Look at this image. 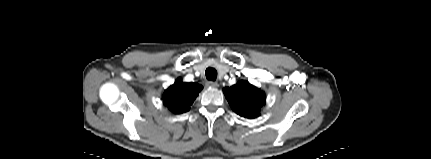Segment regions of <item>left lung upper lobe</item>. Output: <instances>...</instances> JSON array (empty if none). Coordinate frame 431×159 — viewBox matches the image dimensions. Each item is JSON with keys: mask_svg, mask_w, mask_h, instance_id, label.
I'll list each match as a JSON object with an SVG mask.
<instances>
[{"mask_svg": "<svg viewBox=\"0 0 431 159\" xmlns=\"http://www.w3.org/2000/svg\"><path fill=\"white\" fill-rule=\"evenodd\" d=\"M224 94L231 108L247 118L257 117L265 104L264 93L247 81H240L230 88H225Z\"/></svg>", "mask_w": 431, "mask_h": 159, "instance_id": "5c2ea615", "label": "left lung upper lobe"}]
</instances>
